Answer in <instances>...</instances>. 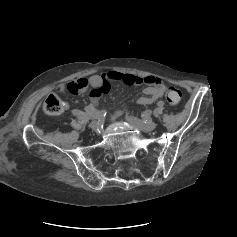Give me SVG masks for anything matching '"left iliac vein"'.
<instances>
[{
  "mask_svg": "<svg viewBox=\"0 0 237 237\" xmlns=\"http://www.w3.org/2000/svg\"><path fill=\"white\" fill-rule=\"evenodd\" d=\"M125 119L130 122L133 126L137 127L138 129L144 131V132H150L153 131L157 124L155 122L146 123L134 116H125Z\"/></svg>",
  "mask_w": 237,
  "mask_h": 237,
  "instance_id": "obj_1",
  "label": "left iliac vein"
}]
</instances>
